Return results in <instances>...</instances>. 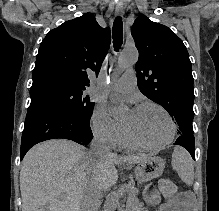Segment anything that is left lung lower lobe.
Wrapping results in <instances>:
<instances>
[{"mask_svg":"<svg viewBox=\"0 0 219 211\" xmlns=\"http://www.w3.org/2000/svg\"><path fill=\"white\" fill-rule=\"evenodd\" d=\"M194 135H180L174 144L181 145L186 148L193 159H195Z\"/></svg>","mask_w":219,"mask_h":211,"instance_id":"obj_1","label":"left lung lower lobe"}]
</instances>
